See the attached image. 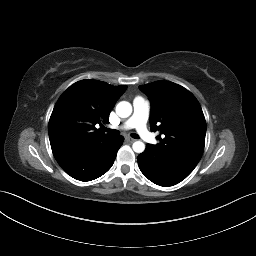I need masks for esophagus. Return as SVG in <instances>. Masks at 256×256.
Here are the masks:
<instances>
[{
  "instance_id": "34e87169",
  "label": "esophagus",
  "mask_w": 256,
  "mask_h": 256,
  "mask_svg": "<svg viewBox=\"0 0 256 256\" xmlns=\"http://www.w3.org/2000/svg\"><path fill=\"white\" fill-rule=\"evenodd\" d=\"M126 141L129 142V143H133L135 141V139H132V138H126Z\"/></svg>"
}]
</instances>
